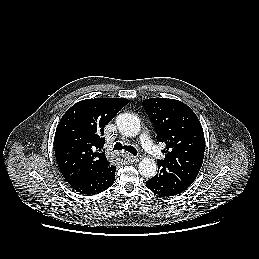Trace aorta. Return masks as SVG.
Masks as SVG:
<instances>
[{
	"label": "aorta",
	"instance_id": "1",
	"mask_svg": "<svg viewBox=\"0 0 259 259\" xmlns=\"http://www.w3.org/2000/svg\"><path fill=\"white\" fill-rule=\"evenodd\" d=\"M116 124L119 132L126 137H134L138 135L141 125L138 117L131 113L119 114L116 118ZM139 173L146 177L152 178L157 173V164L154 159L144 157L139 162Z\"/></svg>",
	"mask_w": 259,
	"mask_h": 259
}]
</instances>
